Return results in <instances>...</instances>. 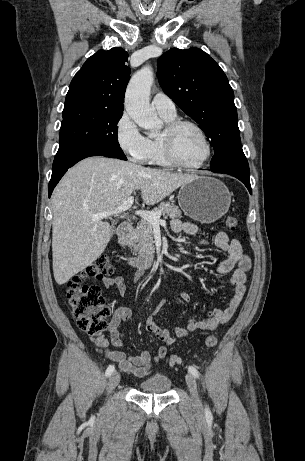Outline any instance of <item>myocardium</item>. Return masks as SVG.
Listing matches in <instances>:
<instances>
[{
  "mask_svg": "<svg viewBox=\"0 0 305 461\" xmlns=\"http://www.w3.org/2000/svg\"><path fill=\"white\" fill-rule=\"evenodd\" d=\"M185 126H189L195 129L201 136L205 144V147H206L205 156L200 162L196 164L184 163L183 161L180 160L175 150L176 136L179 130ZM161 144H162L163 152H164L166 159L173 166H176V167H179L185 170H196V169L203 167L207 163V161L210 159L211 154H212V145H211V142L206 132L202 129L201 126H199L197 123L191 120L177 119V120H173L172 122H169L166 125L165 130L161 135Z\"/></svg>",
  "mask_w": 305,
  "mask_h": 461,
  "instance_id": "f54148a6",
  "label": "myocardium"
}]
</instances>
